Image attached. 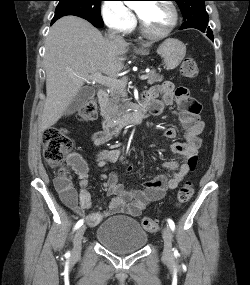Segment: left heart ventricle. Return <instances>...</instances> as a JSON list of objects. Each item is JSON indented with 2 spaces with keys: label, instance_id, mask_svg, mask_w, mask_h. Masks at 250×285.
I'll use <instances>...</instances> for the list:
<instances>
[{
  "label": "left heart ventricle",
  "instance_id": "1",
  "mask_svg": "<svg viewBox=\"0 0 250 285\" xmlns=\"http://www.w3.org/2000/svg\"><path fill=\"white\" fill-rule=\"evenodd\" d=\"M136 10L147 30L152 33H163L171 24L172 13L164 3L140 2Z\"/></svg>",
  "mask_w": 250,
  "mask_h": 285
}]
</instances>
